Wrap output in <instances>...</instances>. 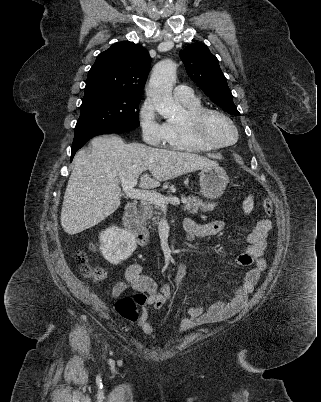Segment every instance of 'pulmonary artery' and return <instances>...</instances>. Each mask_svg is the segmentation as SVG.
I'll return each instance as SVG.
<instances>
[{
  "mask_svg": "<svg viewBox=\"0 0 321 402\" xmlns=\"http://www.w3.org/2000/svg\"><path fill=\"white\" fill-rule=\"evenodd\" d=\"M174 94L180 101H191L196 98L193 90L185 85H178L174 88Z\"/></svg>",
  "mask_w": 321,
  "mask_h": 402,
  "instance_id": "obj_1",
  "label": "pulmonary artery"
}]
</instances>
